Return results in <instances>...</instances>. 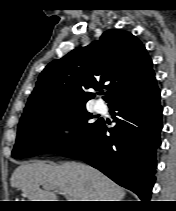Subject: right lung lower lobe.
Instances as JSON below:
<instances>
[{
    "mask_svg": "<svg viewBox=\"0 0 176 211\" xmlns=\"http://www.w3.org/2000/svg\"><path fill=\"white\" fill-rule=\"evenodd\" d=\"M110 110L117 115L110 136L100 121L80 143L57 154L85 161L136 193L143 202L148 201L155 183L156 149L162 129L156 82L138 96L112 105Z\"/></svg>",
    "mask_w": 176,
    "mask_h": 211,
    "instance_id": "98d812e1",
    "label": "right lung lower lobe"
}]
</instances>
